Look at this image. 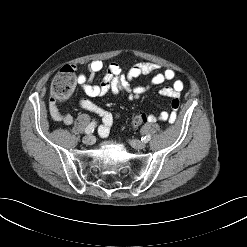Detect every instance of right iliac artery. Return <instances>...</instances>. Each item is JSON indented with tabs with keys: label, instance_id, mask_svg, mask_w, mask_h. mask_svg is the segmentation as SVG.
Wrapping results in <instances>:
<instances>
[{
	"label": "right iliac artery",
	"instance_id": "1",
	"mask_svg": "<svg viewBox=\"0 0 247 247\" xmlns=\"http://www.w3.org/2000/svg\"><path fill=\"white\" fill-rule=\"evenodd\" d=\"M96 127V122H91L85 129L86 134H91L93 133L94 129Z\"/></svg>",
	"mask_w": 247,
	"mask_h": 247
}]
</instances>
